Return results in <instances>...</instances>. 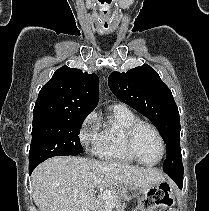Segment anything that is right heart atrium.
Masks as SVG:
<instances>
[{
  "label": "right heart atrium",
  "instance_id": "d8ad5b80",
  "mask_svg": "<svg viewBox=\"0 0 209 211\" xmlns=\"http://www.w3.org/2000/svg\"><path fill=\"white\" fill-rule=\"evenodd\" d=\"M98 138L97 115L94 112L89 113L79 129V139L81 144L85 147L94 146Z\"/></svg>",
  "mask_w": 209,
  "mask_h": 211
}]
</instances>
